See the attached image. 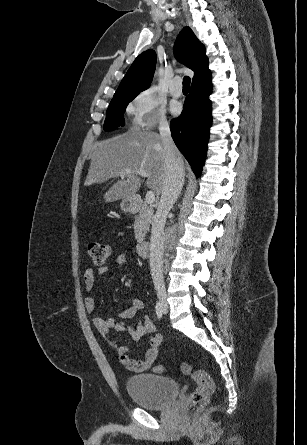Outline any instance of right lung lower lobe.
<instances>
[{"mask_svg": "<svg viewBox=\"0 0 307 445\" xmlns=\"http://www.w3.org/2000/svg\"><path fill=\"white\" fill-rule=\"evenodd\" d=\"M211 91V72L208 70L192 81L181 115L170 123L173 140L196 177L200 176L204 165L212 124Z\"/></svg>", "mask_w": 307, "mask_h": 445, "instance_id": "right-lung-lower-lobe-1", "label": "right lung lower lobe"}]
</instances>
